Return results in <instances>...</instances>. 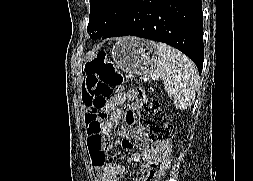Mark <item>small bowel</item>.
<instances>
[{"instance_id":"obj_1","label":"small bowel","mask_w":253,"mask_h":181,"mask_svg":"<svg viewBox=\"0 0 253 181\" xmlns=\"http://www.w3.org/2000/svg\"><path fill=\"white\" fill-rule=\"evenodd\" d=\"M85 75V72H83ZM87 93L86 87V75L83 82V101L85 102V96ZM129 103V109L122 111L118 108L123 103ZM135 92L133 90L119 89L116 94L108 101L107 107L110 111V116L105 122H90L88 119L92 116L89 113L86 114V125L88 135V147L91 150V158L93 169L96 172V181H120L121 176L126 170V165L139 163V171L146 176L149 170L150 164L156 160L160 154L158 146L153 143L148 137L143 134L135 136V140L139 145L140 150L131 154L126 164H113L107 160V152L113 146V143H105L103 140V134H110L114 125L124 121V126L121 130V136L125 140L131 138L129 127L135 121V114L133 109L136 107ZM91 127V130H90ZM92 130H99V134ZM125 147L130 148L132 145L130 142H125ZM145 177L136 178L134 181H144Z\"/></svg>"}]
</instances>
